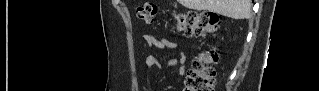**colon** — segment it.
Here are the masks:
<instances>
[{
  "label": "colon",
  "mask_w": 319,
  "mask_h": 91,
  "mask_svg": "<svg viewBox=\"0 0 319 91\" xmlns=\"http://www.w3.org/2000/svg\"><path fill=\"white\" fill-rule=\"evenodd\" d=\"M158 7L153 2L145 3L137 9V17L147 24L157 21ZM175 31L186 35H207L220 27L216 14L211 12H186L172 14ZM218 59L214 51L202 52L193 61L185 77L186 91H213L215 86V70L213 64Z\"/></svg>",
  "instance_id": "colon-1"
}]
</instances>
